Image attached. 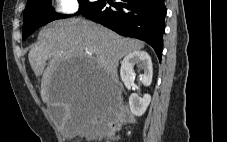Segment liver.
I'll return each instance as SVG.
<instances>
[{
	"mask_svg": "<svg viewBox=\"0 0 227 142\" xmlns=\"http://www.w3.org/2000/svg\"><path fill=\"white\" fill-rule=\"evenodd\" d=\"M39 38L40 43L30 50L28 59L35 75L42 76V101L49 107L65 109L62 129L67 135L78 128L85 110L84 102L95 97L101 82L118 85L119 61L144 48V42L140 40L125 38L80 18L53 21L40 31ZM61 61H92V78H81L89 80L88 88H67L66 81L53 78V73H59V68H66L61 66Z\"/></svg>",
	"mask_w": 227,
	"mask_h": 142,
	"instance_id": "liver-1",
	"label": "liver"
}]
</instances>
